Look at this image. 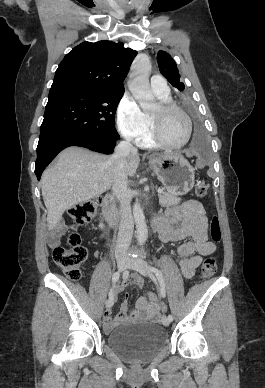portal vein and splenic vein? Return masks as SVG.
Instances as JSON below:
<instances>
[{"instance_id": "portal-vein-and-splenic-vein-1", "label": "portal vein and splenic vein", "mask_w": 265, "mask_h": 388, "mask_svg": "<svg viewBox=\"0 0 265 388\" xmlns=\"http://www.w3.org/2000/svg\"><path fill=\"white\" fill-rule=\"evenodd\" d=\"M94 186H98V184H94ZM157 192H158V194H162L163 190H160V188H159V190H157Z\"/></svg>"}]
</instances>
